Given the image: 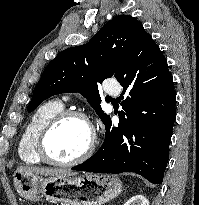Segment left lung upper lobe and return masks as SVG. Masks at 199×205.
<instances>
[{
  "label": "left lung upper lobe",
  "mask_w": 199,
  "mask_h": 205,
  "mask_svg": "<svg viewBox=\"0 0 199 205\" xmlns=\"http://www.w3.org/2000/svg\"><path fill=\"white\" fill-rule=\"evenodd\" d=\"M142 31V24L134 17L115 16L87 44L62 51L47 65L35 86L28 112L55 94L80 92L106 125L110 118L100 106L97 83L112 76L118 79Z\"/></svg>",
  "instance_id": "left-lung-upper-lobe-1"
}]
</instances>
